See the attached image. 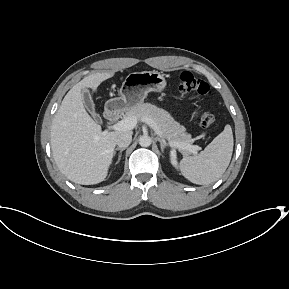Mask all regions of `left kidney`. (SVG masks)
<instances>
[{
    "label": "left kidney",
    "mask_w": 289,
    "mask_h": 289,
    "mask_svg": "<svg viewBox=\"0 0 289 289\" xmlns=\"http://www.w3.org/2000/svg\"><path fill=\"white\" fill-rule=\"evenodd\" d=\"M170 157H171V164L174 167H177V155H176V151L175 150H171L170 151Z\"/></svg>",
    "instance_id": "1"
}]
</instances>
